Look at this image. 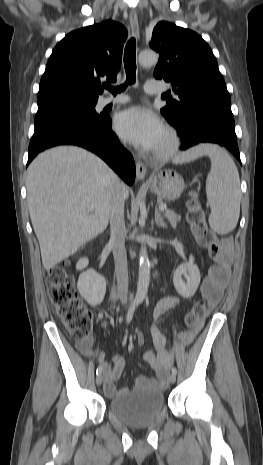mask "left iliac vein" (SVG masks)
<instances>
[{
	"mask_svg": "<svg viewBox=\"0 0 263 465\" xmlns=\"http://www.w3.org/2000/svg\"><path fill=\"white\" fill-rule=\"evenodd\" d=\"M175 381H176V375L173 374V373L170 374V376H169V382H170V383H175Z\"/></svg>",
	"mask_w": 263,
	"mask_h": 465,
	"instance_id": "obj_1",
	"label": "left iliac vein"
}]
</instances>
